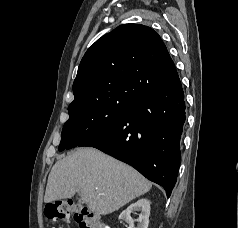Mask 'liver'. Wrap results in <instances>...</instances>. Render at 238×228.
Returning a JSON list of instances; mask_svg holds the SVG:
<instances>
[{
    "mask_svg": "<svg viewBox=\"0 0 238 228\" xmlns=\"http://www.w3.org/2000/svg\"><path fill=\"white\" fill-rule=\"evenodd\" d=\"M152 184L132 167L86 147L58 160L49 174L44 201L71 198L76 192L90 211L106 215L147 193Z\"/></svg>",
    "mask_w": 238,
    "mask_h": 228,
    "instance_id": "1",
    "label": "liver"
}]
</instances>
